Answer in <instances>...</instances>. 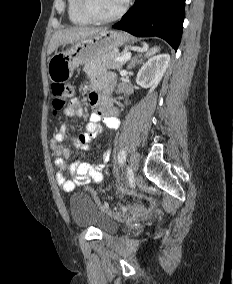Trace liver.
<instances>
[{
  "label": "liver",
  "mask_w": 233,
  "mask_h": 284,
  "mask_svg": "<svg viewBox=\"0 0 233 284\" xmlns=\"http://www.w3.org/2000/svg\"><path fill=\"white\" fill-rule=\"evenodd\" d=\"M102 28L71 27L56 31L48 45L47 54H52L61 45L74 44L82 39L94 36L103 31Z\"/></svg>",
  "instance_id": "1"
}]
</instances>
